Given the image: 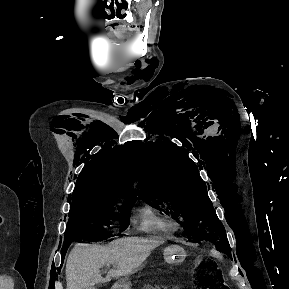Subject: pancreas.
Instances as JSON below:
<instances>
[{"label": "pancreas", "mask_w": 289, "mask_h": 289, "mask_svg": "<svg viewBox=\"0 0 289 289\" xmlns=\"http://www.w3.org/2000/svg\"><path fill=\"white\" fill-rule=\"evenodd\" d=\"M143 289H160V288H159L158 286H156L155 288H153V287L147 285V286H145Z\"/></svg>", "instance_id": "1"}]
</instances>
